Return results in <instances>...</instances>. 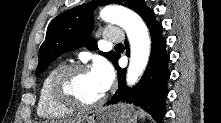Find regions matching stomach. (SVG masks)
Instances as JSON below:
<instances>
[{
    "label": "stomach",
    "mask_w": 221,
    "mask_h": 123,
    "mask_svg": "<svg viewBox=\"0 0 221 123\" xmlns=\"http://www.w3.org/2000/svg\"><path fill=\"white\" fill-rule=\"evenodd\" d=\"M137 113L127 104H115L96 110L92 115H85L76 123H136Z\"/></svg>",
    "instance_id": "0dacf381"
}]
</instances>
